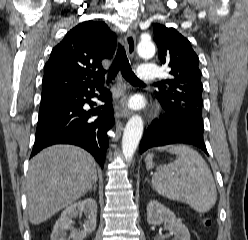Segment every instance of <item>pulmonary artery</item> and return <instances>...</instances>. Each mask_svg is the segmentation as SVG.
<instances>
[{
  "label": "pulmonary artery",
  "instance_id": "e3ab8cb5",
  "mask_svg": "<svg viewBox=\"0 0 248 240\" xmlns=\"http://www.w3.org/2000/svg\"><path fill=\"white\" fill-rule=\"evenodd\" d=\"M160 76V68L154 64H143L138 69V78L141 81H154Z\"/></svg>",
  "mask_w": 248,
  "mask_h": 240
}]
</instances>
